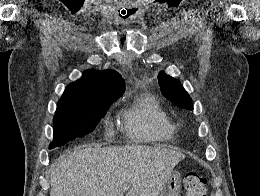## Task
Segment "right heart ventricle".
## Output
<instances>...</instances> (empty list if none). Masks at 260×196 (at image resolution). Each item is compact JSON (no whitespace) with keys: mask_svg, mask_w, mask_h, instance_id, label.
Wrapping results in <instances>:
<instances>
[{"mask_svg":"<svg viewBox=\"0 0 260 196\" xmlns=\"http://www.w3.org/2000/svg\"><path fill=\"white\" fill-rule=\"evenodd\" d=\"M124 123L140 142L159 144L173 139L176 127L168 114L154 101L142 98L123 115ZM89 192H122L121 190H90Z\"/></svg>","mask_w":260,"mask_h":196,"instance_id":"obj_1","label":"right heart ventricle"}]
</instances>
